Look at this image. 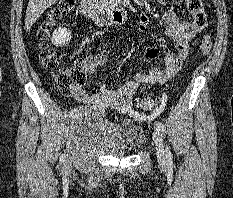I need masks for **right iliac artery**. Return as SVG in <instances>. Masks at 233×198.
<instances>
[{
	"instance_id": "obj_1",
	"label": "right iliac artery",
	"mask_w": 233,
	"mask_h": 198,
	"mask_svg": "<svg viewBox=\"0 0 233 198\" xmlns=\"http://www.w3.org/2000/svg\"><path fill=\"white\" fill-rule=\"evenodd\" d=\"M76 111H77V109H75V108L71 110V112H70V117L71 118L74 117V115L76 114ZM60 159H61V161L63 160V155H62V157Z\"/></svg>"
}]
</instances>
